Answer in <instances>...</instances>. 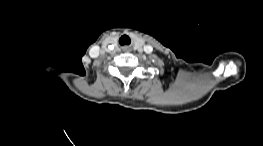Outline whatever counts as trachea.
Here are the masks:
<instances>
[{"label":"trachea","instance_id":"obj_1","mask_svg":"<svg viewBox=\"0 0 263 146\" xmlns=\"http://www.w3.org/2000/svg\"><path fill=\"white\" fill-rule=\"evenodd\" d=\"M130 42H131V40H130V38L127 35H123L119 39L120 45H127V44H130Z\"/></svg>","mask_w":263,"mask_h":146}]
</instances>
